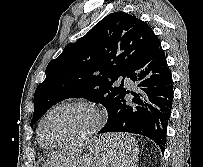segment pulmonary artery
Instances as JSON below:
<instances>
[{
    "mask_svg": "<svg viewBox=\"0 0 203 167\" xmlns=\"http://www.w3.org/2000/svg\"><path fill=\"white\" fill-rule=\"evenodd\" d=\"M124 81L126 85L131 86L132 85V81L127 78V77H120L119 81Z\"/></svg>",
    "mask_w": 203,
    "mask_h": 167,
    "instance_id": "pulmonary-artery-1",
    "label": "pulmonary artery"
}]
</instances>
